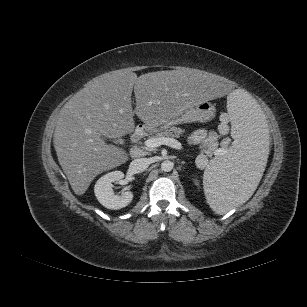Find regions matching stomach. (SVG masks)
I'll return each instance as SVG.
<instances>
[{
  "label": "stomach",
  "instance_id": "0dacf381",
  "mask_svg": "<svg viewBox=\"0 0 307 307\" xmlns=\"http://www.w3.org/2000/svg\"><path fill=\"white\" fill-rule=\"evenodd\" d=\"M215 112L214 106L207 101H201L186 108L179 115L169 118L164 123L152 122L145 124L146 130L150 132H156L163 130L171 125H177L187 122H203L210 120Z\"/></svg>",
  "mask_w": 307,
  "mask_h": 307
}]
</instances>
